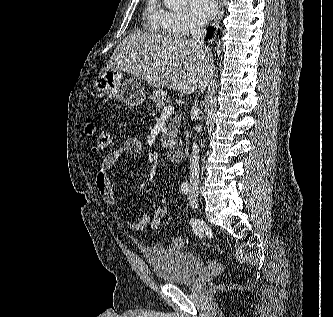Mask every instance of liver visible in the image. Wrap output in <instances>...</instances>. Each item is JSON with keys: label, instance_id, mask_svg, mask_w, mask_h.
<instances>
[{"label": "liver", "instance_id": "liver-1", "mask_svg": "<svg viewBox=\"0 0 333 317\" xmlns=\"http://www.w3.org/2000/svg\"><path fill=\"white\" fill-rule=\"evenodd\" d=\"M105 70H119L146 81L191 94L213 70L212 53L178 35L134 31L115 48Z\"/></svg>", "mask_w": 333, "mask_h": 317}]
</instances>
